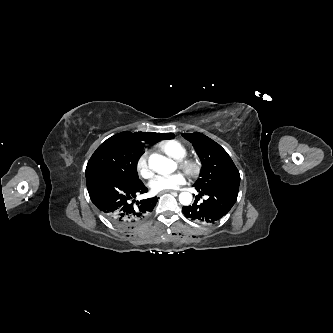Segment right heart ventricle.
<instances>
[{
    "label": "right heart ventricle",
    "instance_id": "obj_1",
    "mask_svg": "<svg viewBox=\"0 0 333 333\" xmlns=\"http://www.w3.org/2000/svg\"><path fill=\"white\" fill-rule=\"evenodd\" d=\"M158 148L175 160H181L187 155V148L177 140L162 142Z\"/></svg>",
    "mask_w": 333,
    "mask_h": 333
}]
</instances>
